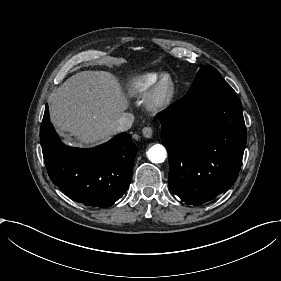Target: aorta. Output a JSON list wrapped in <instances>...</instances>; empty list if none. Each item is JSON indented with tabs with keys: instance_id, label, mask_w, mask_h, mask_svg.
Instances as JSON below:
<instances>
[{
	"instance_id": "1",
	"label": "aorta",
	"mask_w": 281,
	"mask_h": 281,
	"mask_svg": "<svg viewBox=\"0 0 281 281\" xmlns=\"http://www.w3.org/2000/svg\"><path fill=\"white\" fill-rule=\"evenodd\" d=\"M148 159L152 163H162L167 157V151L161 144H155L146 152Z\"/></svg>"
}]
</instances>
